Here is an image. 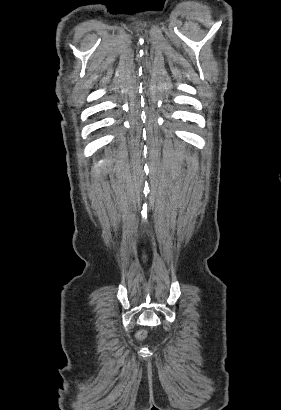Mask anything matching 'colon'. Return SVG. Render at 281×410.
I'll return each instance as SVG.
<instances>
[{
    "instance_id": "obj_1",
    "label": "colon",
    "mask_w": 281,
    "mask_h": 410,
    "mask_svg": "<svg viewBox=\"0 0 281 410\" xmlns=\"http://www.w3.org/2000/svg\"><path fill=\"white\" fill-rule=\"evenodd\" d=\"M145 335H146L145 331H141V332L139 333V336H140V337H144Z\"/></svg>"
}]
</instances>
